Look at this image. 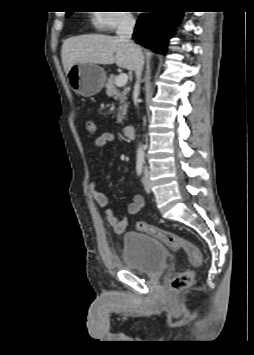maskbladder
Wrapping results in <instances>:
<instances>
[{"mask_svg": "<svg viewBox=\"0 0 254 355\" xmlns=\"http://www.w3.org/2000/svg\"><path fill=\"white\" fill-rule=\"evenodd\" d=\"M123 262L128 269L147 277L160 276L166 271L168 252L157 238L127 232L123 236Z\"/></svg>", "mask_w": 254, "mask_h": 355, "instance_id": "bladder-1", "label": "bladder"}]
</instances>
